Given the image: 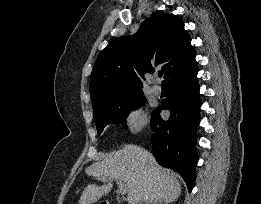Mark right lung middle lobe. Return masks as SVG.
I'll return each instance as SVG.
<instances>
[{
    "label": "right lung middle lobe",
    "instance_id": "obj_1",
    "mask_svg": "<svg viewBox=\"0 0 261 204\" xmlns=\"http://www.w3.org/2000/svg\"><path fill=\"white\" fill-rule=\"evenodd\" d=\"M144 101L141 90L126 93L115 101L93 107L94 121L98 134H101L108 124H119L125 121L131 110Z\"/></svg>",
    "mask_w": 261,
    "mask_h": 204
}]
</instances>
